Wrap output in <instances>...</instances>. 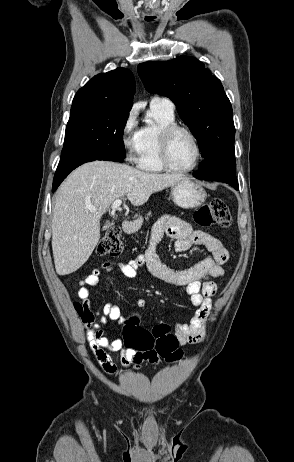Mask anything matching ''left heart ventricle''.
<instances>
[{"label":"left heart ventricle","mask_w":294,"mask_h":462,"mask_svg":"<svg viewBox=\"0 0 294 462\" xmlns=\"http://www.w3.org/2000/svg\"><path fill=\"white\" fill-rule=\"evenodd\" d=\"M196 149L192 139L184 132H178L170 144V161L177 168H187L192 165Z\"/></svg>","instance_id":"left-heart-ventricle-1"}]
</instances>
